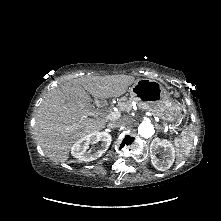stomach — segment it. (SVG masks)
<instances>
[{
  "instance_id": "0dacf381",
  "label": "stomach",
  "mask_w": 221,
  "mask_h": 221,
  "mask_svg": "<svg viewBox=\"0 0 221 221\" xmlns=\"http://www.w3.org/2000/svg\"><path fill=\"white\" fill-rule=\"evenodd\" d=\"M129 93L141 109L173 123L175 127L181 124L184 118L182 107L171 100L158 81L139 79L129 88Z\"/></svg>"
}]
</instances>
